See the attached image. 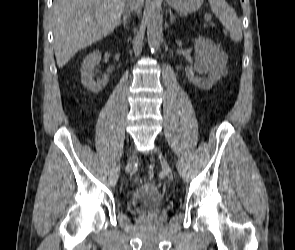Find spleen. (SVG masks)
<instances>
[{"label": "spleen", "mask_w": 295, "mask_h": 250, "mask_svg": "<svg viewBox=\"0 0 295 250\" xmlns=\"http://www.w3.org/2000/svg\"><path fill=\"white\" fill-rule=\"evenodd\" d=\"M211 11L221 21L234 42L242 40L241 24L235 10L225 0H209Z\"/></svg>", "instance_id": "1"}]
</instances>
